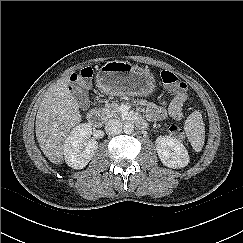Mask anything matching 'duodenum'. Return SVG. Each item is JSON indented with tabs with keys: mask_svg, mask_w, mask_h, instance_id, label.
Instances as JSON below:
<instances>
[{
	"mask_svg": "<svg viewBox=\"0 0 243 243\" xmlns=\"http://www.w3.org/2000/svg\"><path fill=\"white\" fill-rule=\"evenodd\" d=\"M87 121L90 125L98 126L102 123V116L99 110L92 109L87 114ZM133 122H135L139 128L145 129L146 128V122L140 118V117H134L132 119Z\"/></svg>",
	"mask_w": 243,
	"mask_h": 243,
	"instance_id": "410a0bca",
	"label": "duodenum"
}]
</instances>
